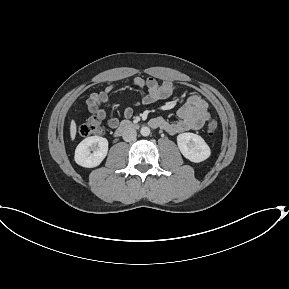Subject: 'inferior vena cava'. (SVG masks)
I'll return each instance as SVG.
<instances>
[{
  "mask_svg": "<svg viewBox=\"0 0 289 289\" xmlns=\"http://www.w3.org/2000/svg\"><path fill=\"white\" fill-rule=\"evenodd\" d=\"M137 132L133 128L125 129L122 133L123 140L126 142H131L136 139Z\"/></svg>",
  "mask_w": 289,
  "mask_h": 289,
  "instance_id": "1",
  "label": "inferior vena cava"
}]
</instances>
